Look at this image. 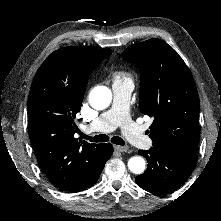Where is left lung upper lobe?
<instances>
[{"label":"left lung upper lobe","mask_w":221,"mask_h":221,"mask_svg":"<svg viewBox=\"0 0 221 221\" xmlns=\"http://www.w3.org/2000/svg\"><path fill=\"white\" fill-rule=\"evenodd\" d=\"M122 55L140 70L139 107L154 118L149 134L153 148L196 154L200 103L183 59L166 42L154 38L129 46Z\"/></svg>","instance_id":"left-lung-upper-lobe-1"}]
</instances>
